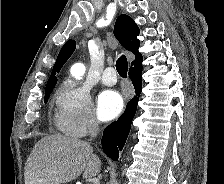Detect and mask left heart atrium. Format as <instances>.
<instances>
[{"label":"left heart atrium","mask_w":224,"mask_h":184,"mask_svg":"<svg viewBox=\"0 0 224 184\" xmlns=\"http://www.w3.org/2000/svg\"><path fill=\"white\" fill-rule=\"evenodd\" d=\"M123 109L121 95L112 90L103 91L97 99V113L101 120L109 121L115 118Z\"/></svg>","instance_id":"obj_1"}]
</instances>
